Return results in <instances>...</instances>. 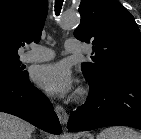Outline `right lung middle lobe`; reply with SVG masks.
Segmentation results:
<instances>
[{
	"mask_svg": "<svg viewBox=\"0 0 141 139\" xmlns=\"http://www.w3.org/2000/svg\"><path fill=\"white\" fill-rule=\"evenodd\" d=\"M19 56H0V81H13L27 76Z\"/></svg>",
	"mask_w": 141,
	"mask_h": 139,
	"instance_id": "right-lung-middle-lobe-1",
	"label": "right lung middle lobe"
}]
</instances>
